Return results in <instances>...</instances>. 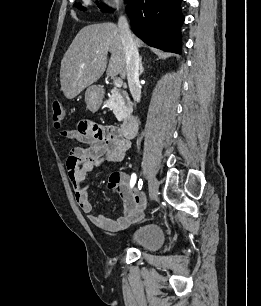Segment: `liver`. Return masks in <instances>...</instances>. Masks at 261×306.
<instances>
[{
  "label": "liver",
  "mask_w": 261,
  "mask_h": 306,
  "mask_svg": "<svg viewBox=\"0 0 261 306\" xmlns=\"http://www.w3.org/2000/svg\"><path fill=\"white\" fill-rule=\"evenodd\" d=\"M133 38L137 47L143 45L138 38ZM108 52L111 57L107 66ZM105 71L110 77H126V57L119 28L113 23L85 26L78 32L61 61V90L67 99H73L95 83Z\"/></svg>",
  "instance_id": "1"
}]
</instances>
